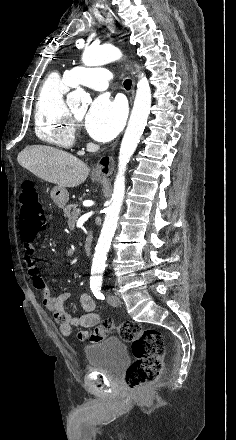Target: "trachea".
<instances>
[{
    "instance_id": "obj_1",
    "label": "trachea",
    "mask_w": 236,
    "mask_h": 440,
    "mask_svg": "<svg viewBox=\"0 0 236 440\" xmlns=\"http://www.w3.org/2000/svg\"><path fill=\"white\" fill-rule=\"evenodd\" d=\"M131 85H132V81H131L130 79H126V80L124 81V87H125V89H130V88H131Z\"/></svg>"
}]
</instances>
